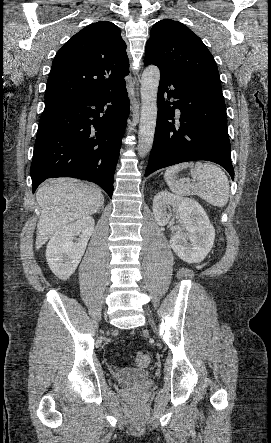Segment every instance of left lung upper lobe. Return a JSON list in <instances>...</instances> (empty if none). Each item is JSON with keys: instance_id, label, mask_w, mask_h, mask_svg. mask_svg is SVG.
Masks as SVG:
<instances>
[{"instance_id": "left-lung-upper-lobe-1", "label": "left lung upper lobe", "mask_w": 271, "mask_h": 443, "mask_svg": "<svg viewBox=\"0 0 271 443\" xmlns=\"http://www.w3.org/2000/svg\"><path fill=\"white\" fill-rule=\"evenodd\" d=\"M145 56L171 69L220 80L212 54L196 34L178 21L164 19L153 25Z\"/></svg>"}]
</instances>
